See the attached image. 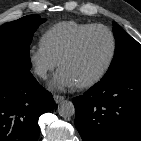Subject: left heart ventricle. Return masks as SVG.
I'll return each mask as SVG.
<instances>
[{
  "instance_id": "obj_1",
  "label": "left heart ventricle",
  "mask_w": 141,
  "mask_h": 141,
  "mask_svg": "<svg viewBox=\"0 0 141 141\" xmlns=\"http://www.w3.org/2000/svg\"><path fill=\"white\" fill-rule=\"evenodd\" d=\"M110 49L111 41L107 32L94 30L83 39L76 52L60 68L70 75L75 84L85 82L102 69Z\"/></svg>"
}]
</instances>
